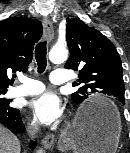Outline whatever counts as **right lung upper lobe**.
<instances>
[{
    "instance_id": "right-lung-upper-lobe-1",
    "label": "right lung upper lobe",
    "mask_w": 130,
    "mask_h": 153,
    "mask_svg": "<svg viewBox=\"0 0 130 153\" xmlns=\"http://www.w3.org/2000/svg\"><path fill=\"white\" fill-rule=\"evenodd\" d=\"M42 35L39 20L10 17L0 21V91H7V72L27 71L34 44Z\"/></svg>"
}]
</instances>
